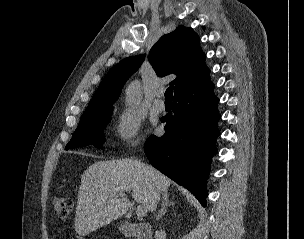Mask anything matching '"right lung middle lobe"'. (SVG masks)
<instances>
[{"instance_id": "obj_1", "label": "right lung middle lobe", "mask_w": 304, "mask_h": 239, "mask_svg": "<svg viewBox=\"0 0 304 239\" xmlns=\"http://www.w3.org/2000/svg\"><path fill=\"white\" fill-rule=\"evenodd\" d=\"M112 111V106H108L100 111L83 116L72 139L66 145V150L87 145L101 148L103 141L101 133L109 123Z\"/></svg>"}]
</instances>
